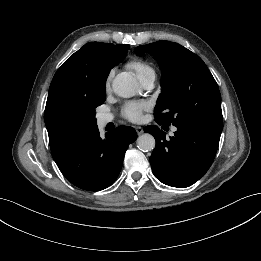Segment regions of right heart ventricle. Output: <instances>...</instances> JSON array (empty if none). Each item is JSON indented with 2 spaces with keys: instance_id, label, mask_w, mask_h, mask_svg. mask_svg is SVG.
<instances>
[{
  "instance_id": "right-heart-ventricle-1",
  "label": "right heart ventricle",
  "mask_w": 261,
  "mask_h": 261,
  "mask_svg": "<svg viewBox=\"0 0 261 261\" xmlns=\"http://www.w3.org/2000/svg\"><path fill=\"white\" fill-rule=\"evenodd\" d=\"M128 68L135 72L140 81L148 78L155 77V69L153 66L141 59H133L128 62Z\"/></svg>"
}]
</instances>
